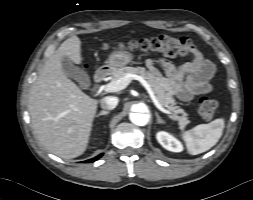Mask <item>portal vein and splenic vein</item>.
<instances>
[{"label": "portal vein and splenic vein", "mask_w": 253, "mask_h": 200, "mask_svg": "<svg viewBox=\"0 0 253 200\" xmlns=\"http://www.w3.org/2000/svg\"><path fill=\"white\" fill-rule=\"evenodd\" d=\"M138 80L143 87L147 90L151 100L153 101L154 105L163 113L165 114H170V112L168 110H166L157 100L151 86L149 85V83L142 77L136 74H132V73H128L126 75H124L123 77H121L120 79L116 80V81H112L108 84H106L104 86V91L107 93H112V92H118L120 90L125 89L128 84L131 82V80Z\"/></svg>", "instance_id": "portal-vein-and-splenic-vein-1"}]
</instances>
